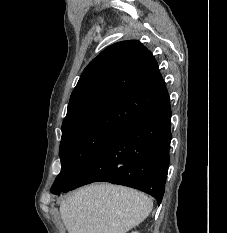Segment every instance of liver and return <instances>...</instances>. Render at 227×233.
I'll list each match as a JSON object with an SVG mask.
<instances>
[{"mask_svg": "<svg viewBox=\"0 0 227 233\" xmlns=\"http://www.w3.org/2000/svg\"><path fill=\"white\" fill-rule=\"evenodd\" d=\"M152 207L144 193L100 183L66 196L60 214L68 233H127L148 217Z\"/></svg>", "mask_w": 227, "mask_h": 233, "instance_id": "liver-1", "label": "liver"}]
</instances>
